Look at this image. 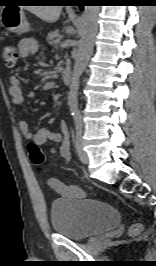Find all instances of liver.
Returning <instances> with one entry per match:
<instances>
[{"label":"liver","instance_id":"6515ba94","mask_svg":"<svg viewBox=\"0 0 156 266\" xmlns=\"http://www.w3.org/2000/svg\"><path fill=\"white\" fill-rule=\"evenodd\" d=\"M26 9L43 21L54 23L60 17L62 6H26Z\"/></svg>","mask_w":156,"mask_h":266}]
</instances>
